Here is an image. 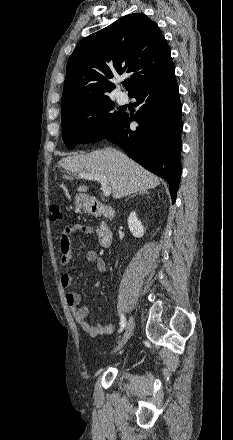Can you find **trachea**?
I'll return each mask as SVG.
<instances>
[{
  "instance_id": "obj_1",
  "label": "trachea",
  "mask_w": 233,
  "mask_h": 440,
  "mask_svg": "<svg viewBox=\"0 0 233 440\" xmlns=\"http://www.w3.org/2000/svg\"><path fill=\"white\" fill-rule=\"evenodd\" d=\"M127 84H129V82H128V81H126V82H124V83H123V85H124V86H126Z\"/></svg>"
}]
</instances>
